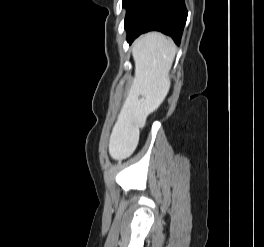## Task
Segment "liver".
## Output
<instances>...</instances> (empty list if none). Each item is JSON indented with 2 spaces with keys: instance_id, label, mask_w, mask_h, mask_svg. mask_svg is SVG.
<instances>
[{
  "instance_id": "obj_1",
  "label": "liver",
  "mask_w": 264,
  "mask_h": 247,
  "mask_svg": "<svg viewBox=\"0 0 264 247\" xmlns=\"http://www.w3.org/2000/svg\"><path fill=\"white\" fill-rule=\"evenodd\" d=\"M175 54L173 41L158 32L147 33L134 42L135 77L109 139V154L113 159L132 154L138 144L139 128L167 96Z\"/></svg>"
}]
</instances>
